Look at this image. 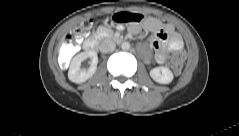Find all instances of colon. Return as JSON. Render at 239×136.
<instances>
[{
	"instance_id": "obj_1",
	"label": "colon",
	"mask_w": 239,
	"mask_h": 136,
	"mask_svg": "<svg viewBox=\"0 0 239 136\" xmlns=\"http://www.w3.org/2000/svg\"><path fill=\"white\" fill-rule=\"evenodd\" d=\"M92 26V20H85L73 35L69 36L61 46L63 56H72L77 51L76 40L79 39ZM186 58V53L182 49L175 50L170 57V65L175 74H180L183 69V62Z\"/></svg>"
}]
</instances>
